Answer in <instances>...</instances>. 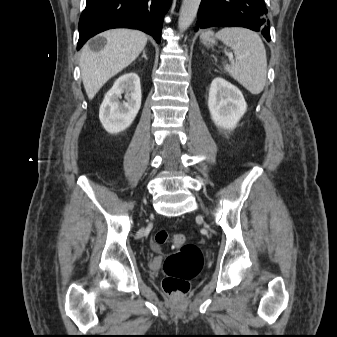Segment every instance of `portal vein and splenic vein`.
I'll return each mask as SVG.
<instances>
[{"instance_id": "18ae733b", "label": "portal vein and splenic vein", "mask_w": 337, "mask_h": 337, "mask_svg": "<svg viewBox=\"0 0 337 337\" xmlns=\"http://www.w3.org/2000/svg\"><path fill=\"white\" fill-rule=\"evenodd\" d=\"M230 59H231V61H232V63H233L234 61H233L232 57H230Z\"/></svg>"}]
</instances>
